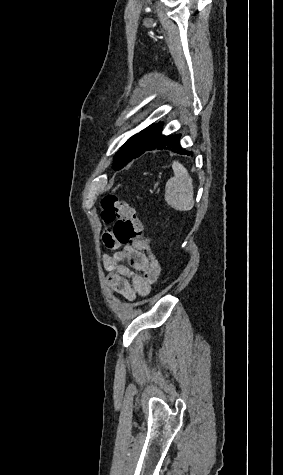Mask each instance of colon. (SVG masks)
I'll return each instance as SVG.
<instances>
[{"instance_id":"obj_1","label":"colon","mask_w":283,"mask_h":475,"mask_svg":"<svg viewBox=\"0 0 283 475\" xmlns=\"http://www.w3.org/2000/svg\"><path fill=\"white\" fill-rule=\"evenodd\" d=\"M102 219L106 223L119 224L120 232L114 233V239L121 244L140 242L148 246L149 239L143 233L142 223L136 209L114 194H107L102 200Z\"/></svg>"}]
</instances>
